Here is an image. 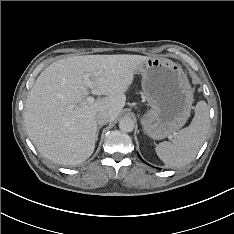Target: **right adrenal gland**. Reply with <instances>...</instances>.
<instances>
[{"instance_id":"1","label":"right adrenal gland","mask_w":234,"mask_h":234,"mask_svg":"<svg viewBox=\"0 0 234 234\" xmlns=\"http://www.w3.org/2000/svg\"><path fill=\"white\" fill-rule=\"evenodd\" d=\"M100 127L97 128V139H98V132H99Z\"/></svg>"}]
</instances>
